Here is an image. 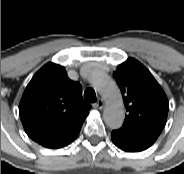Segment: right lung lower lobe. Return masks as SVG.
<instances>
[{"instance_id":"98d812e1","label":"right lung lower lobe","mask_w":184,"mask_h":174,"mask_svg":"<svg viewBox=\"0 0 184 174\" xmlns=\"http://www.w3.org/2000/svg\"><path fill=\"white\" fill-rule=\"evenodd\" d=\"M81 129V128H80ZM80 129H78L77 131H75L69 138H67L66 140H64L63 142L59 143L58 145H56L55 147H53V149L56 148H62L64 146H67L68 144H70L71 142H73L76 137L78 136Z\"/></svg>"}]
</instances>
